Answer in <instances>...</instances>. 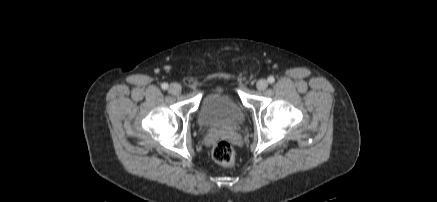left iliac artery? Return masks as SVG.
I'll use <instances>...</instances> for the list:
<instances>
[{"instance_id": "1", "label": "left iliac artery", "mask_w": 437, "mask_h": 202, "mask_svg": "<svg viewBox=\"0 0 437 202\" xmlns=\"http://www.w3.org/2000/svg\"><path fill=\"white\" fill-rule=\"evenodd\" d=\"M268 82L269 83H274L275 82V78L273 76L268 77Z\"/></svg>"}]
</instances>
